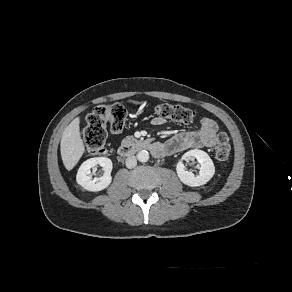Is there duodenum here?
<instances>
[{
  "label": "duodenum",
  "mask_w": 292,
  "mask_h": 292,
  "mask_svg": "<svg viewBox=\"0 0 292 292\" xmlns=\"http://www.w3.org/2000/svg\"><path fill=\"white\" fill-rule=\"evenodd\" d=\"M150 150L152 152L156 151V146L149 140H140L134 138L125 139L118 149V153L122 157H127L139 150Z\"/></svg>",
  "instance_id": "1"
}]
</instances>
